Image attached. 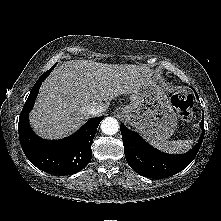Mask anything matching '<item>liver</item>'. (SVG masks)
I'll use <instances>...</instances> for the list:
<instances>
[{
	"label": "liver",
	"instance_id": "6515ba94",
	"mask_svg": "<svg viewBox=\"0 0 221 221\" xmlns=\"http://www.w3.org/2000/svg\"><path fill=\"white\" fill-rule=\"evenodd\" d=\"M150 77V69L133 64L70 60L55 68L42 83L29 122L45 139H61L78 130L91 116V106L107 110L110 102Z\"/></svg>",
	"mask_w": 221,
	"mask_h": 221
}]
</instances>
